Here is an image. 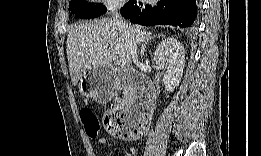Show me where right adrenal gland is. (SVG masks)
Listing matches in <instances>:
<instances>
[{
	"mask_svg": "<svg viewBox=\"0 0 261 156\" xmlns=\"http://www.w3.org/2000/svg\"><path fill=\"white\" fill-rule=\"evenodd\" d=\"M160 37H163V35L162 34L153 35V36L149 37V39L147 41L143 42L142 47H141V57L145 56L146 47L151 42V40H154L155 38H160Z\"/></svg>",
	"mask_w": 261,
	"mask_h": 156,
	"instance_id": "right-adrenal-gland-1",
	"label": "right adrenal gland"
}]
</instances>
